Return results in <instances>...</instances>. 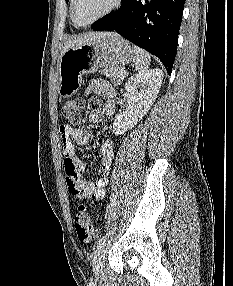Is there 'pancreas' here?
Here are the masks:
<instances>
[{
  "instance_id": "1",
  "label": "pancreas",
  "mask_w": 233,
  "mask_h": 286,
  "mask_svg": "<svg viewBox=\"0 0 233 286\" xmlns=\"http://www.w3.org/2000/svg\"><path fill=\"white\" fill-rule=\"evenodd\" d=\"M122 71L123 68L121 66H115L105 67L103 70L100 71V73L108 77L114 83V85H119L123 81V78L121 77Z\"/></svg>"
}]
</instances>
